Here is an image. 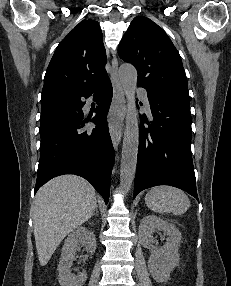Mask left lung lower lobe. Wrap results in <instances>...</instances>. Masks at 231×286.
Masks as SVG:
<instances>
[{"instance_id": "left-lung-lower-lobe-1", "label": "left lung lower lobe", "mask_w": 231, "mask_h": 286, "mask_svg": "<svg viewBox=\"0 0 231 286\" xmlns=\"http://www.w3.org/2000/svg\"><path fill=\"white\" fill-rule=\"evenodd\" d=\"M147 92L153 119L149 122L141 116L134 198L144 189L170 185L198 200L191 156L190 100Z\"/></svg>"}]
</instances>
